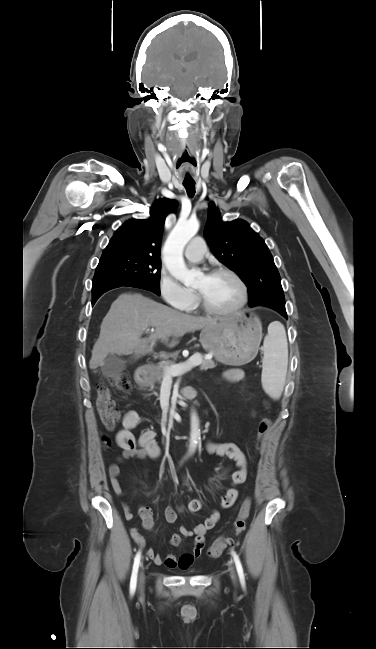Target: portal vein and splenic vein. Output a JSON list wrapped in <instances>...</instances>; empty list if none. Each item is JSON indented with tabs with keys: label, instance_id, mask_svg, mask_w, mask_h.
<instances>
[{
	"label": "portal vein and splenic vein",
	"instance_id": "1",
	"mask_svg": "<svg viewBox=\"0 0 376 649\" xmlns=\"http://www.w3.org/2000/svg\"><path fill=\"white\" fill-rule=\"evenodd\" d=\"M149 331V329H147ZM212 356L209 355L206 359H211ZM202 358L199 355H193L189 360L183 364H177L166 368L164 379L171 380L174 376H179L183 373L190 371L192 368L200 365Z\"/></svg>",
	"mask_w": 376,
	"mask_h": 649
}]
</instances>
